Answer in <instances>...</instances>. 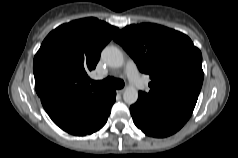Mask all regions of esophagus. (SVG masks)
Wrapping results in <instances>:
<instances>
[{"instance_id": "34e87169", "label": "esophagus", "mask_w": 238, "mask_h": 158, "mask_svg": "<svg viewBox=\"0 0 238 158\" xmlns=\"http://www.w3.org/2000/svg\"><path fill=\"white\" fill-rule=\"evenodd\" d=\"M116 92H117V94L122 95L123 92H124V89H119V90H117Z\"/></svg>"}]
</instances>
